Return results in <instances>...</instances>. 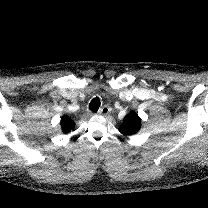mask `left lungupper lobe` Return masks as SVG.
<instances>
[{
    "instance_id": "1",
    "label": "left lung upper lobe",
    "mask_w": 208,
    "mask_h": 208,
    "mask_svg": "<svg viewBox=\"0 0 208 208\" xmlns=\"http://www.w3.org/2000/svg\"><path fill=\"white\" fill-rule=\"evenodd\" d=\"M141 127V118L135 111L130 112L125 118L119 131L125 135L130 136L136 134Z\"/></svg>"
}]
</instances>
